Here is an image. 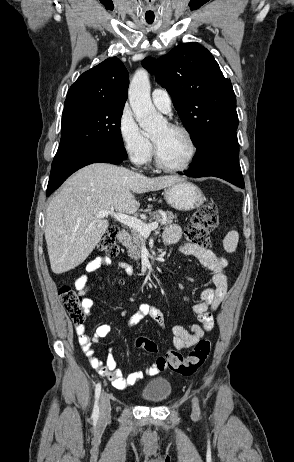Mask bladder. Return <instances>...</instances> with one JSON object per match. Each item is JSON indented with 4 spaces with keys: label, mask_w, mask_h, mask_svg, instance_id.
<instances>
[{
    "label": "bladder",
    "mask_w": 294,
    "mask_h": 462,
    "mask_svg": "<svg viewBox=\"0 0 294 462\" xmlns=\"http://www.w3.org/2000/svg\"><path fill=\"white\" fill-rule=\"evenodd\" d=\"M172 390V383L168 378H157L144 385L139 397L148 404H161L171 396Z\"/></svg>",
    "instance_id": "obj_1"
}]
</instances>
